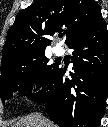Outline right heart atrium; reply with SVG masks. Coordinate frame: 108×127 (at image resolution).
Returning a JSON list of instances; mask_svg holds the SVG:
<instances>
[{
	"label": "right heart atrium",
	"instance_id": "1",
	"mask_svg": "<svg viewBox=\"0 0 108 127\" xmlns=\"http://www.w3.org/2000/svg\"><path fill=\"white\" fill-rule=\"evenodd\" d=\"M38 85V79L37 77L35 76H31L29 79H28V86L30 89H35Z\"/></svg>",
	"mask_w": 108,
	"mask_h": 127
}]
</instances>
